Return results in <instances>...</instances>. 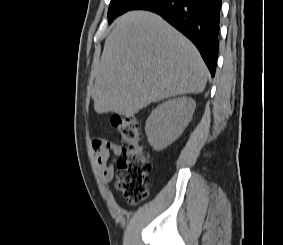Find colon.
I'll return each instance as SVG.
<instances>
[{
  "label": "colon",
  "instance_id": "colon-1",
  "mask_svg": "<svg viewBox=\"0 0 283 245\" xmlns=\"http://www.w3.org/2000/svg\"><path fill=\"white\" fill-rule=\"evenodd\" d=\"M111 123L119 134L122 148L115 185L129 204H137L148 196L152 168L141 144L140 125L135 117L118 115L112 117Z\"/></svg>",
  "mask_w": 283,
  "mask_h": 245
}]
</instances>
